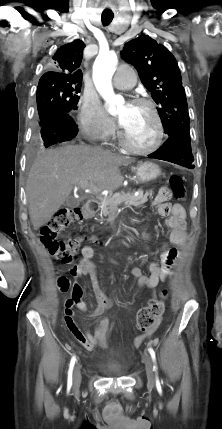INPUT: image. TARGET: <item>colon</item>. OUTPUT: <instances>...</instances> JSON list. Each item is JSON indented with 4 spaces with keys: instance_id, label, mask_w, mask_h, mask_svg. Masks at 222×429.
I'll return each mask as SVG.
<instances>
[{
    "instance_id": "colon-1",
    "label": "colon",
    "mask_w": 222,
    "mask_h": 429,
    "mask_svg": "<svg viewBox=\"0 0 222 429\" xmlns=\"http://www.w3.org/2000/svg\"><path fill=\"white\" fill-rule=\"evenodd\" d=\"M161 196L168 199L181 200L185 197L183 180L178 175H172L169 186L161 189ZM83 212L79 208H65L59 210L41 229V242L49 254L63 262L70 263L77 255L80 247V239L58 240L59 234L68 226L80 221ZM96 242V239H91ZM62 290L69 288V281L62 277L59 280ZM167 292L163 291L159 299H150L148 304L138 311L136 327L140 331H147L155 327L165 312Z\"/></svg>"
}]
</instances>
